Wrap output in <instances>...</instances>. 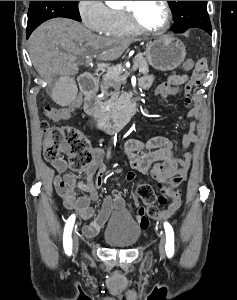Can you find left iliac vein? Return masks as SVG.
Listing matches in <instances>:
<instances>
[{"mask_svg":"<svg viewBox=\"0 0 237 300\" xmlns=\"http://www.w3.org/2000/svg\"><path fill=\"white\" fill-rule=\"evenodd\" d=\"M165 243H166V239L164 236H162L160 239V243H159V254H160L161 258H163V255H164Z\"/></svg>","mask_w":237,"mask_h":300,"instance_id":"1","label":"left iliac vein"}]
</instances>
